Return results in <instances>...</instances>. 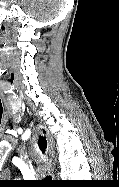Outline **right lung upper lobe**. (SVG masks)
Instances as JSON below:
<instances>
[{"instance_id":"cb5924a9","label":"right lung upper lobe","mask_w":119,"mask_h":187,"mask_svg":"<svg viewBox=\"0 0 119 187\" xmlns=\"http://www.w3.org/2000/svg\"><path fill=\"white\" fill-rule=\"evenodd\" d=\"M39 147L42 150V152H45V149L47 147V142L45 140V137H40L38 141Z\"/></svg>"}]
</instances>
